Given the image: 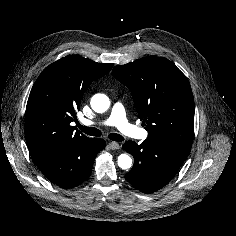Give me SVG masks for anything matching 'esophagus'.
Instances as JSON below:
<instances>
[{
	"label": "esophagus",
	"instance_id": "34e87169",
	"mask_svg": "<svg viewBox=\"0 0 236 236\" xmlns=\"http://www.w3.org/2000/svg\"><path fill=\"white\" fill-rule=\"evenodd\" d=\"M109 147H110V149H112V150H118V149L120 148V145H119V143H117V142H110V143H109Z\"/></svg>",
	"mask_w": 236,
	"mask_h": 236
}]
</instances>
